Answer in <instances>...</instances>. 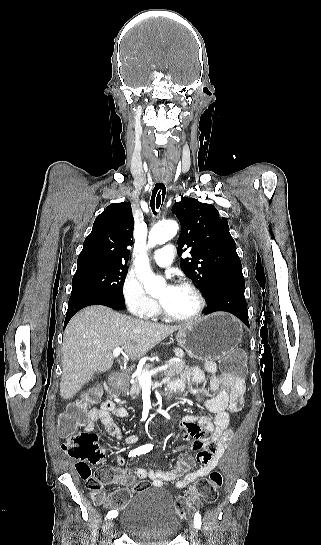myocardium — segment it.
<instances>
[{
    "instance_id": "1",
    "label": "myocardium",
    "mask_w": 321,
    "mask_h": 545,
    "mask_svg": "<svg viewBox=\"0 0 321 545\" xmlns=\"http://www.w3.org/2000/svg\"><path fill=\"white\" fill-rule=\"evenodd\" d=\"M176 287L183 288V289H188V290H190L191 292L194 293V295L196 296L197 301H198L196 311L192 315H189V316H179V315L169 313L168 311H166L164 309L163 306H160V311H161L162 315L166 319H168L170 321H174V322L188 323V322L197 321L203 315V313L205 311V308H206V299H205V296H204L203 292L201 291V289L198 286H196L194 283H192L190 281H181V282H179L177 284Z\"/></svg>"
}]
</instances>
